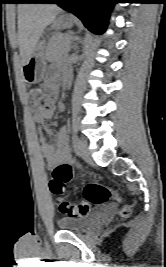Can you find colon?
Masks as SVG:
<instances>
[{
	"instance_id": "5ec220e1",
	"label": "colon",
	"mask_w": 166,
	"mask_h": 267,
	"mask_svg": "<svg viewBox=\"0 0 166 267\" xmlns=\"http://www.w3.org/2000/svg\"><path fill=\"white\" fill-rule=\"evenodd\" d=\"M55 94L46 92L41 88L35 87L28 93L29 103L34 113H40L52 107ZM72 168L57 166L53 169V178L49 187L53 194L61 195L65 185L72 179ZM85 200L79 203H71L63 198L57 199V206L62 213L80 217L87 215L92 205L104 203L112 198L120 200L119 195L111 188L98 183L90 182L84 187ZM129 213V206L124 205L120 210V216L126 217Z\"/></svg>"
}]
</instances>
